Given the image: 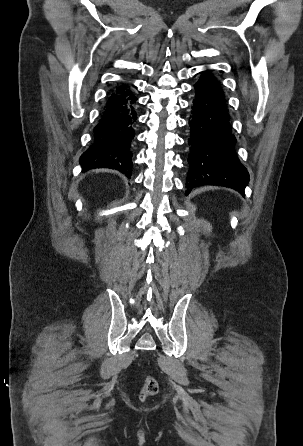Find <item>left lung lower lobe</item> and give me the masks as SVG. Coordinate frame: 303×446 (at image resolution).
I'll use <instances>...</instances> for the list:
<instances>
[{"label":"left lung lower lobe","instance_id":"0a47b994","mask_svg":"<svg viewBox=\"0 0 303 446\" xmlns=\"http://www.w3.org/2000/svg\"><path fill=\"white\" fill-rule=\"evenodd\" d=\"M194 87L196 97L189 120L191 147L185 194L197 186L217 185L237 190L244 196L249 174L234 148L236 139L231 133L224 92L209 71Z\"/></svg>","mask_w":303,"mask_h":446}]
</instances>
